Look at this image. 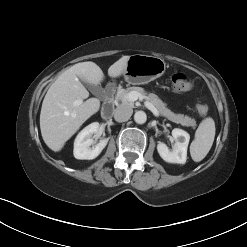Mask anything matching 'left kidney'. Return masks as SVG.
Masks as SVG:
<instances>
[{"mask_svg":"<svg viewBox=\"0 0 247 247\" xmlns=\"http://www.w3.org/2000/svg\"><path fill=\"white\" fill-rule=\"evenodd\" d=\"M172 136L175 140L173 150L170 151L165 143L159 142L157 151L160 157L168 163L185 164L190 136L186 131L178 128L172 130Z\"/></svg>","mask_w":247,"mask_h":247,"instance_id":"1","label":"left kidney"}]
</instances>
